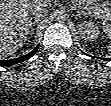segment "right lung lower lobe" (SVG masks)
<instances>
[{"label": "right lung lower lobe", "mask_w": 111, "mask_h": 106, "mask_svg": "<svg viewBox=\"0 0 111 106\" xmlns=\"http://www.w3.org/2000/svg\"><path fill=\"white\" fill-rule=\"evenodd\" d=\"M38 48H39V45H37L33 51H31L30 53L24 56H21L15 59L0 61V66H9V65L17 64L19 62H23L24 60L31 58L36 53Z\"/></svg>", "instance_id": "98d812e1"}]
</instances>
